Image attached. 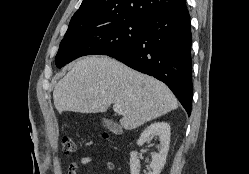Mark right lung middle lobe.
I'll return each instance as SVG.
<instances>
[{
  "label": "right lung middle lobe",
  "instance_id": "dd1d6c3e",
  "mask_svg": "<svg viewBox=\"0 0 249 174\" xmlns=\"http://www.w3.org/2000/svg\"><path fill=\"white\" fill-rule=\"evenodd\" d=\"M145 20L118 19L106 24L67 30L56 55L58 68L85 55L120 53L136 42Z\"/></svg>",
  "mask_w": 249,
  "mask_h": 174
}]
</instances>
